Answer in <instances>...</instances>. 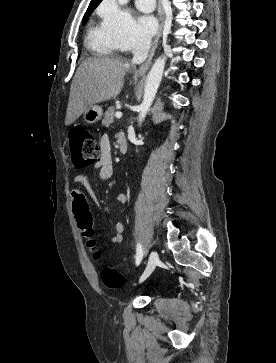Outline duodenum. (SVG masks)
Here are the masks:
<instances>
[{"label": "duodenum", "mask_w": 276, "mask_h": 363, "mask_svg": "<svg viewBox=\"0 0 276 363\" xmlns=\"http://www.w3.org/2000/svg\"><path fill=\"white\" fill-rule=\"evenodd\" d=\"M118 142H119L120 152L125 154L128 149V142L126 136L123 133L118 134Z\"/></svg>", "instance_id": "obj_1"}]
</instances>
